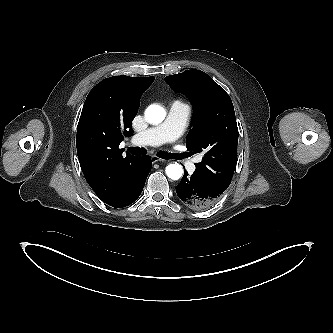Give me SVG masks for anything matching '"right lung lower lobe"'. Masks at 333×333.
Masks as SVG:
<instances>
[{
	"instance_id": "right-lung-lower-lobe-1",
	"label": "right lung lower lobe",
	"mask_w": 333,
	"mask_h": 333,
	"mask_svg": "<svg viewBox=\"0 0 333 333\" xmlns=\"http://www.w3.org/2000/svg\"><path fill=\"white\" fill-rule=\"evenodd\" d=\"M151 159L148 156H140L130 166L125 187L121 195L108 205L122 208L133 203L141 194L146 178L151 170Z\"/></svg>"
}]
</instances>
